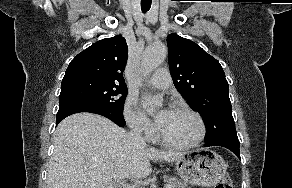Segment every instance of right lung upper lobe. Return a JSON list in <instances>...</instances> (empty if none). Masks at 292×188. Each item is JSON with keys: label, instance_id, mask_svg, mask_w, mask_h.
<instances>
[{"label": "right lung upper lobe", "instance_id": "obj_1", "mask_svg": "<svg viewBox=\"0 0 292 188\" xmlns=\"http://www.w3.org/2000/svg\"><path fill=\"white\" fill-rule=\"evenodd\" d=\"M127 55L128 47L122 35L102 39L74 57L63 80L94 78L122 85Z\"/></svg>", "mask_w": 292, "mask_h": 188}]
</instances>
